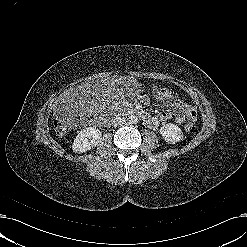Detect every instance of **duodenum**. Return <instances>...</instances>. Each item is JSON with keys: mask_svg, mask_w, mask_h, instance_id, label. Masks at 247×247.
Here are the masks:
<instances>
[{"mask_svg": "<svg viewBox=\"0 0 247 247\" xmlns=\"http://www.w3.org/2000/svg\"><path fill=\"white\" fill-rule=\"evenodd\" d=\"M127 115L136 116L146 123L152 122V117L148 113H146L140 109H131L127 112ZM119 116L120 115H115L114 118H118Z\"/></svg>", "mask_w": 247, "mask_h": 247, "instance_id": "obj_1", "label": "duodenum"}]
</instances>
